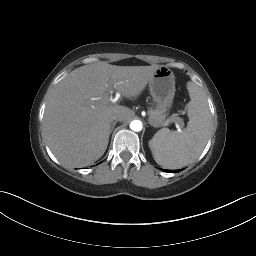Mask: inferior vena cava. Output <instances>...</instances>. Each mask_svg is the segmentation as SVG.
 <instances>
[{
  "label": "inferior vena cava",
  "instance_id": "inferior-vena-cava-1",
  "mask_svg": "<svg viewBox=\"0 0 256 256\" xmlns=\"http://www.w3.org/2000/svg\"><path fill=\"white\" fill-rule=\"evenodd\" d=\"M111 121H122V116L118 113H114L110 117Z\"/></svg>",
  "mask_w": 256,
  "mask_h": 256
}]
</instances>
